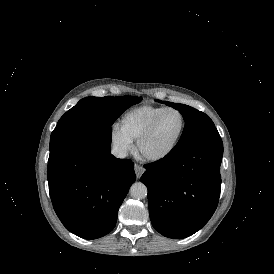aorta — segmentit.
Instances as JSON below:
<instances>
[{
  "label": "aorta",
  "mask_w": 274,
  "mask_h": 274,
  "mask_svg": "<svg viewBox=\"0 0 274 274\" xmlns=\"http://www.w3.org/2000/svg\"><path fill=\"white\" fill-rule=\"evenodd\" d=\"M147 187L141 183V182H135L131 187H130V195L132 198L135 199H144L147 196Z\"/></svg>",
  "instance_id": "1"
}]
</instances>
